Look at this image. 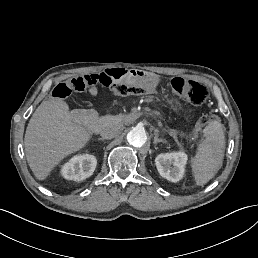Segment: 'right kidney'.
Returning a JSON list of instances; mask_svg holds the SVG:
<instances>
[{
	"label": "right kidney",
	"instance_id": "obj_1",
	"mask_svg": "<svg viewBox=\"0 0 258 258\" xmlns=\"http://www.w3.org/2000/svg\"><path fill=\"white\" fill-rule=\"evenodd\" d=\"M96 165L97 159L93 155H75L62 166L61 174L67 180L82 181L93 174Z\"/></svg>",
	"mask_w": 258,
	"mask_h": 258
}]
</instances>
